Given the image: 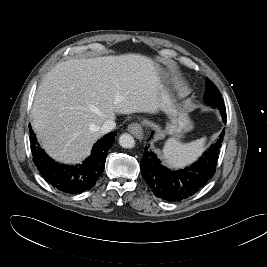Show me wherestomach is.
Instances as JSON below:
<instances>
[{"instance_id":"stomach-1","label":"stomach","mask_w":267,"mask_h":267,"mask_svg":"<svg viewBox=\"0 0 267 267\" xmlns=\"http://www.w3.org/2000/svg\"><path fill=\"white\" fill-rule=\"evenodd\" d=\"M158 66V65H157ZM161 80L163 79V71L158 66ZM161 110L166 113L170 119L167 123L164 132L174 137H181L183 133L190 131L193 128L192 121L188 114L181 110L172 94L162 84L159 92Z\"/></svg>"}]
</instances>
